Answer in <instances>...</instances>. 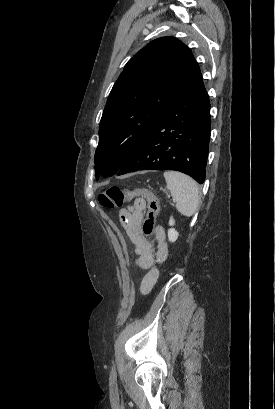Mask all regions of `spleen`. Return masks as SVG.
<instances>
[{"label":"spleen","mask_w":275,"mask_h":409,"mask_svg":"<svg viewBox=\"0 0 275 409\" xmlns=\"http://www.w3.org/2000/svg\"><path fill=\"white\" fill-rule=\"evenodd\" d=\"M167 188L171 196L176 200V209L181 215L191 217L195 215L199 205V192L196 180L191 176L176 172V170H167L164 172Z\"/></svg>","instance_id":"obj_1"}]
</instances>
